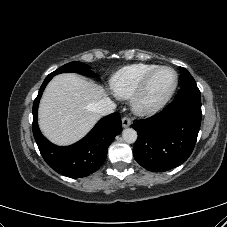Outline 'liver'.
Returning <instances> with one entry per match:
<instances>
[{
  "label": "liver",
  "mask_w": 227,
  "mask_h": 227,
  "mask_svg": "<svg viewBox=\"0 0 227 227\" xmlns=\"http://www.w3.org/2000/svg\"><path fill=\"white\" fill-rule=\"evenodd\" d=\"M105 95L102 86L77 74L55 76L40 102L38 118L41 131L57 145L78 141L100 118L95 103Z\"/></svg>",
  "instance_id": "liver-1"
}]
</instances>
